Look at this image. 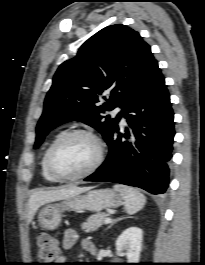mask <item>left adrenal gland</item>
<instances>
[{
  "label": "left adrenal gland",
  "mask_w": 205,
  "mask_h": 265,
  "mask_svg": "<svg viewBox=\"0 0 205 265\" xmlns=\"http://www.w3.org/2000/svg\"><path fill=\"white\" fill-rule=\"evenodd\" d=\"M122 218H119L117 220H115L108 228H110L115 222H117L118 220H121Z\"/></svg>",
  "instance_id": "a2214340"
}]
</instances>
